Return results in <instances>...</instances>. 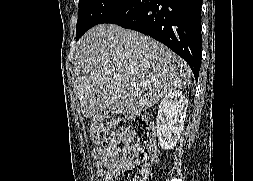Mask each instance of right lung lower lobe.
Returning <instances> with one entry per match:
<instances>
[{
	"mask_svg": "<svg viewBox=\"0 0 253 181\" xmlns=\"http://www.w3.org/2000/svg\"><path fill=\"white\" fill-rule=\"evenodd\" d=\"M102 23H114L153 37L181 56L198 79L201 0H128Z\"/></svg>",
	"mask_w": 253,
	"mask_h": 181,
	"instance_id": "1",
	"label": "right lung lower lobe"
}]
</instances>
